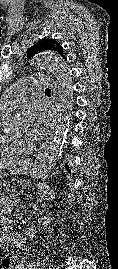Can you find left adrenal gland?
Segmentation results:
<instances>
[{
    "label": "left adrenal gland",
    "mask_w": 118,
    "mask_h": 269,
    "mask_svg": "<svg viewBox=\"0 0 118 269\" xmlns=\"http://www.w3.org/2000/svg\"><path fill=\"white\" fill-rule=\"evenodd\" d=\"M28 186V183H23L22 189H25Z\"/></svg>",
    "instance_id": "left-adrenal-gland-1"
}]
</instances>
